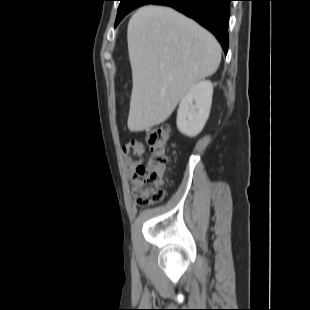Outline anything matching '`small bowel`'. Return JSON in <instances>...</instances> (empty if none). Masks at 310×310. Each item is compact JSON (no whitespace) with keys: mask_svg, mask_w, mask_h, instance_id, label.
I'll return each mask as SVG.
<instances>
[{"mask_svg":"<svg viewBox=\"0 0 310 310\" xmlns=\"http://www.w3.org/2000/svg\"><path fill=\"white\" fill-rule=\"evenodd\" d=\"M144 145L137 140H130L122 146V157L126 173L134 175L136 169L143 163Z\"/></svg>","mask_w":310,"mask_h":310,"instance_id":"obj_1","label":"small bowel"}]
</instances>
